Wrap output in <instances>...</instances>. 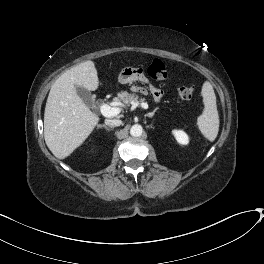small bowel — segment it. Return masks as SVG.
Returning <instances> with one entry per match:
<instances>
[{"mask_svg": "<svg viewBox=\"0 0 264 264\" xmlns=\"http://www.w3.org/2000/svg\"><path fill=\"white\" fill-rule=\"evenodd\" d=\"M152 95L155 101H160L162 98V91L156 88L152 89Z\"/></svg>", "mask_w": 264, "mask_h": 264, "instance_id": "small-bowel-1", "label": "small bowel"}]
</instances>
